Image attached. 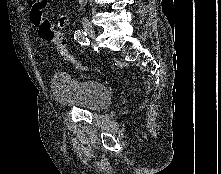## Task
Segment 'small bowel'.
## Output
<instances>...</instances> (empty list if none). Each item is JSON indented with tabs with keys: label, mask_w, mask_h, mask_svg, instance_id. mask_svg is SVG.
Instances as JSON below:
<instances>
[{
	"label": "small bowel",
	"mask_w": 221,
	"mask_h": 174,
	"mask_svg": "<svg viewBox=\"0 0 221 174\" xmlns=\"http://www.w3.org/2000/svg\"><path fill=\"white\" fill-rule=\"evenodd\" d=\"M30 9L29 16L32 24L39 28L40 24L44 20V10L47 7V2L45 0H27ZM69 24V18L67 14L61 13L57 18V28L63 29Z\"/></svg>",
	"instance_id": "c3829d8e"
}]
</instances>
